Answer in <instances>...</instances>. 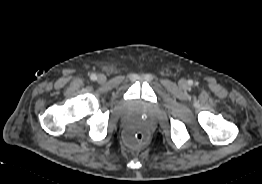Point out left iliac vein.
Segmentation results:
<instances>
[{
	"mask_svg": "<svg viewBox=\"0 0 262 184\" xmlns=\"http://www.w3.org/2000/svg\"><path fill=\"white\" fill-rule=\"evenodd\" d=\"M181 85H185V81L184 80L181 81Z\"/></svg>",
	"mask_w": 262,
	"mask_h": 184,
	"instance_id": "obj_1",
	"label": "left iliac vein"
}]
</instances>
